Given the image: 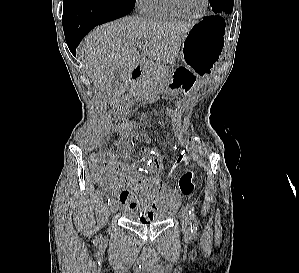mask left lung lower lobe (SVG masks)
Listing matches in <instances>:
<instances>
[{
  "label": "left lung lower lobe",
  "instance_id": "obj_1",
  "mask_svg": "<svg viewBox=\"0 0 299 273\" xmlns=\"http://www.w3.org/2000/svg\"><path fill=\"white\" fill-rule=\"evenodd\" d=\"M233 9L230 10H224L223 13H231Z\"/></svg>",
  "mask_w": 299,
  "mask_h": 273
}]
</instances>
